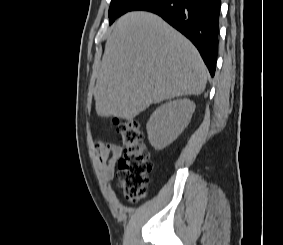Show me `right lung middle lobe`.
Returning <instances> with one entry per match:
<instances>
[{
    "label": "right lung middle lobe",
    "instance_id": "right-lung-middle-lobe-1",
    "mask_svg": "<svg viewBox=\"0 0 283 245\" xmlns=\"http://www.w3.org/2000/svg\"><path fill=\"white\" fill-rule=\"evenodd\" d=\"M143 0H111L109 9V22L112 24L114 20L130 11L135 5Z\"/></svg>",
    "mask_w": 283,
    "mask_h": 245
}]
</instances>
